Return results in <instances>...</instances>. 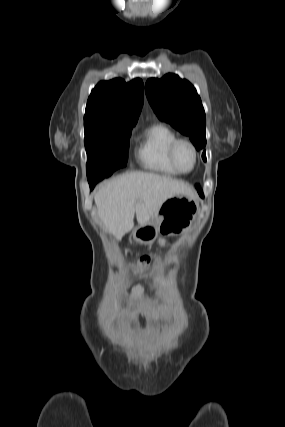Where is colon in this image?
<instances>
[{
  "mask_svg": "<svg viewBox=\"0 0 285 427\" xmlns=\"http://www.w3.org/2000/svg\"><path fill=\"white\" fill-rule=\"evenodd\" d=\"M161 260L155 259L152 260L151 258L144 256L140 259L137 266L131 271L134 275H149L154 276L155 271L160 266Z\"/></svg>",
  "mask_w": 285,
  "mask_h": 427,
  "instance_id": "5ec220e1",
  "label": "colon"
}]
</instances>
